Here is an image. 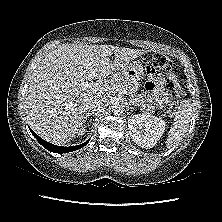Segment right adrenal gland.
Masks as SVG:
<instances>
[{
    "mask_svg": "<svg viewBox=\"0 0 222 222\" xmlns=\"http://www.w3.org/2000/svg\"><path fill=\"white\" fill-rule=\"evenodd\" d=\"M95 115H96V114H95ZM90 116H94V113H88V114L86 115V119L89 118Z\"/></svg>",
    "mask_w": 222,
    "mask_h": 222,
    "instance_id": "right-adrenal-gland-1",
    "label": "right adrenal gland"
}]
</instances>
